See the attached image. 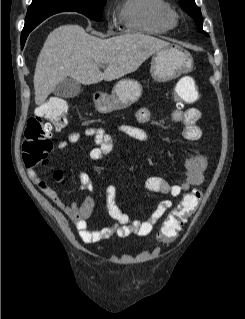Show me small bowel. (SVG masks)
Here are the masks:
<instances>
[{
    "instance_id": "c3829d8e",
    "label": "small bowel",
    "mask_w": 245,
    "mask_h": 319,
    "mask_svg": "<svg viewBox=\"0 0 245 319\" xmlns=\"http://www.w3.org/2000/svg\"><path fill=\"white\" fill-rule=\"evenodd\" d=\"M177 88L191 90L194 88V82L190 77H182L177 84ZM197 98L194 99L196 101ZM193 101V102H194ZM151 118V111L147 107L140 108L136 113V120L139 124H146ZM172 121L181 123L182 136L188 141H197L202 138L203 131L197 124L201 118L199 109L191 107L188 109H175L171 114ZM118 131L127 137L143 143L149 144L150 137L141 127L132 125H121ZM86 136L92 137L94 147L89 151L88 157L92 161H100L105 158L113 148V139L102 128L86 127L83 131ZM81 134L77 131L70 132L67 139L60 140L57 143V149L63 151L68 148L70 143L77 142ZM185 173L181 183L171 185L165 179L158 176L148 177L144 181V187L147 191L170 195L173 197L180 196L182 193L189 191L191 188L200 185L204 179V171L207 168V157L203 153L187 154L184 159ZM29 177L40 187L43 192L57 205L73 222L81 240L85 243H97L108 240L113 233L120 237H127L131 234L148 235L150 234L157 222L172 207L173 203L169 199L162 200L151 215L144 221L131 220L119 208L116 202L117 189L114 185L109 184L105 187L106 206L109 215L116 221L111 228L100 230H91L88 225V219L94 211V203L89 195H85L81 204L77 201L71 205L65 204L56 192L45 183L33 169L28 170ZM79 188L91 192L94 188V182L90 175L84 171L78 172Z\"/></svg>"
}]
</instances>
